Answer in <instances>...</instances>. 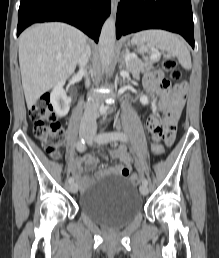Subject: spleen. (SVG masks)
I'll use <instances>...</instances> for the list:
<instances>
[{"mask_svg": "<svg viewBox=\"0 0 219 258\" xmlns=\"http://www.w3.org/2000/svg\"><path fill=\"white\" fill-rule=\"evenodd\" d=\"M140 54L159 49L178 58L185 69L191 68V56L184 41L177 35L164 30L152 29L136 33L131 40Z\"/></svg>", "mask_w": 219, "mask_h": 258, "instance_id": "spleen-1", "label": "spleen"}]
</instances>
